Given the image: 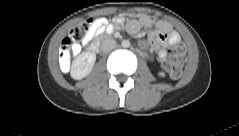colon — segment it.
<instances>
[{
    "label": "colon",
    "mask_w": 239,
    "mask_h": 136,
    "mask_svg": "<svg viewBox=\"0 0 239 136\" xmlns=\"http://www.w3.org/2000/svg\"><path fill=\"white\" fill-rule=\"evenodd\" d=\"M96 20L87 19L75 26L66 37L59 49V64L63 69L68 68L72 56L78 45L88 36ZM186 58V49L183 44H174L169 50L164 62V68L173 78L181 76Z\"/></svg>",
    "instance_id": "5ec220e1"
}]
</instances>
